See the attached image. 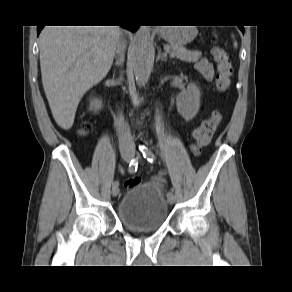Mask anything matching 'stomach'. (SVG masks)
<instances>
[{"instance_id": "0dacf381", "label": "stomach", "mask_w": 292, "mask_h": 292, "mask_svg": "<svg viewBox=\"0 0 292 292\" xmlns=\"http://www.w3.org/2000/svg\"><path fill=\"white\" fill-rule=\"evenodd\" d=\"M196 29L192 27H168L163 29L162 37L172 45L181 46L195 38Z\"/></svg>"}]
</instances>
